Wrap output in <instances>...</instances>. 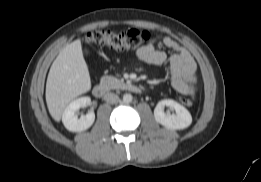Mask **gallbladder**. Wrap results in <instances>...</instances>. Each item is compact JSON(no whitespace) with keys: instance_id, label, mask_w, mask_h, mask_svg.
<instances>
[{"instance_id":"1","label":"gallbladder","mask_w":261,"mask_h":182,"mask_svg":"<svg viewBox=\"0 0 261 182\" xmlns=\"http://www.w3.org/2000/svg\"><path fill=\"white\" fill-rule=\"evenodd\" d=\"M85 53L88 54L89 53L88 50H85Z\"/></svg>"}]
</instances>
